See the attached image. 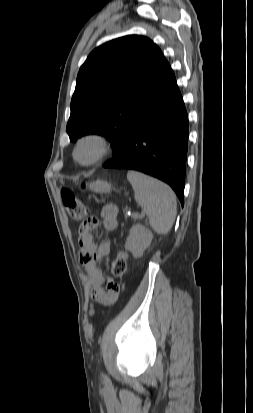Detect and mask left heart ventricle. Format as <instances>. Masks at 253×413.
Instances as JSON below:
<instances>
[{"mask_svg":"<svg viewBox=\"0 0 253 413\" xmlns=\"http://www.w3.org/2000/svg\"><path fill=\"white\" fill-rule=\"evenodd\" d=\"M93 148L91 146H84L80 152H79V156L82 159H89L92 155H93Z\"/></svg>","mask_w":253,"mask_h":413,"instance_id":"b2bd125f","label":"left heart ventricle"}]
</instances>
